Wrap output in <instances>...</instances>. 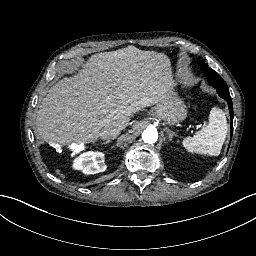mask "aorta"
Masks as SVG:
<instances>
[{
	"mask_svg": "<svg viewBox=\"0 0 256 256\" xmlns=\"http://www.w3.org/2000/svg\"><path fill=\"white\" fill-rule=\"evenodd\" d=\"M146 133V138L144 139L143 134ZM142 139L145 143L153 144L158 140V131L156 128L148 126L142 133Z\"/></svg>",
	"mask_w": 256,
	"mask_h": 256,
	"instance_id": "aorta-1",
	"label": "aorta"
}]
</instances>
